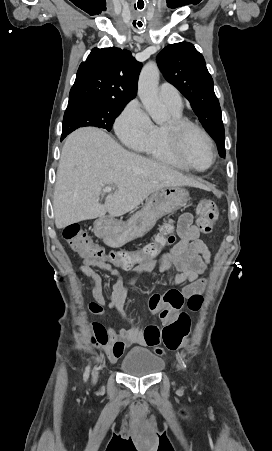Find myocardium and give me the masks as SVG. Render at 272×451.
Wrapping results in <instances>:
<instances>
[{
	"label": "myocardium",
	"mask_w": 272,
	"mask_h": 451,
	"mask_svg": "<svg viewBox=\"0 0 272 451\" xmlns=\"http://www.w3.org/2000/svg\"><path fill=\"white\" fill-rule=\"evenodd\" d=\"M192 131L198 133L201 136L210 152L211 161L209 166L206 168L210 169L211 167L214 166L216 162L217 157L216 150L208 134L196 124L183 118L173 117L169 121V123L165 126L164 140L172 144L175 160L176 162L180 163L181 168L184 171L186 172L203 171L192 169L184 162L185 138L187 134Z\"/></svg>",
	"instance_id": "f54148a6"
}]
</instances>
